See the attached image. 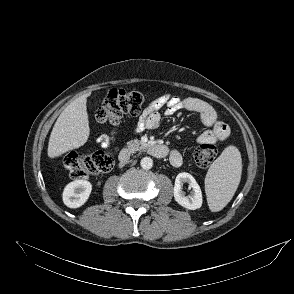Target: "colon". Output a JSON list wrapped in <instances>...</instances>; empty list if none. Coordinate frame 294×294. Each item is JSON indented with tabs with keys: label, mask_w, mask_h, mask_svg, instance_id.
<instances>
[{
	"label": "colon",
	"mask_w": 294,
	"mask_h": 294,
	"mask_svg": "<svg viewBox=\"0 0 294 294\" xmlns=\"http://www.w3.org/2000/svg\"><path fill=\"white\" fill-rule=\"evenodd\" d=\"M144 103L140 92L113 89L96 111V119L104 124H119L125 115L137 116ZM217 156V149L211 143L200 144L194 151V160L201 169L208 168ZM64 166L74 180L86 179L91 175L105 173L112 169L113 158L107 150H93L87 153L71 152L64 158Z\"/></svg>",
	"instance_id": "1"
}]
</instances>
